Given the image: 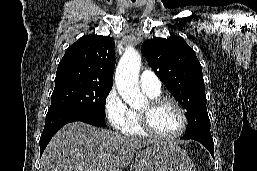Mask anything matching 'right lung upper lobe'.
Masks as SVG:
<instances>
[{
  "label": "right lung upper lobe",
  "instance_id": "right-lung-upper-lobe-1",
  "mask_svg": "<svg viewBox=\"0 0 257 171\" xmlns=\"http://www.w3.org/2000/svg\"><path fill=\"white\" fill-rule=\"evenodd\" d=\"M114 46L109 36L88 35L78 39L68 47L58 65L55 88L74 83L112 86Z\"/></svg>",
  "mask_w": 257,
  "mask_h": 171
}]
</instances>
